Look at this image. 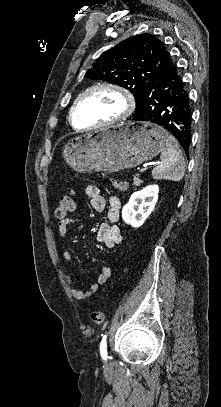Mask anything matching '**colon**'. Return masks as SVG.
Masks as SVG:
<instances>
[{"mask_svg":"<svg viewBox=\"0 0 221 407\" xmlns=\"http://www.w3.org/2000/svg\"><path fill=\"white\" fill-rule=\"evenodd\" d=\"M112 184L119 189H125V182L111 180ZM75 208V191L70 189L68 194L63 196L55 207L54 214L57 218L67 219ZM91 322L94 325H101L105 319V313L102 309L93 311L90 315Z\"/></svg>","mask_w":221,"mask_h":407,"instance_id":"obj_1","label":"colon"}]
</instances>
